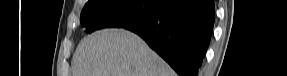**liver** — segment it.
<instances>
[{
    "instance_id": "liver-1",
    "label": "liver",
    "mask_w": 287,
    "mask_h": 76,
    "mask_svg": "<svg viewBox=\"0 0 287 76\" xmlns=\"http://www.w3.org/2000/svg\"><path fill=\"white\" fill-rule=\"evenodd\" d=\"M72 76H176L136 34L104 29L84 37L72 58Z\"/></svg>"
}]
</instances>
